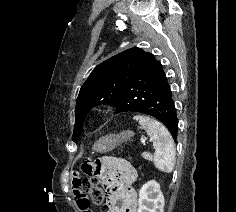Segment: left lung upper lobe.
<instances>
[{
	"label": "left lung upper lobe",
	"instance_id": "5c2ea615",
	"mask_svg": "<svg viewBox=\"0 0 236 212\" xmlns=\"http://www.w3.org/2000/svg\"><path fill=\"white\" fill-rule=\"evenodd\" d=\"M146 52L141 48L127 49L99 64L80 89L76 108L72 139L76 142L82 132L86 114L94 106L113 105L132 80Z\"/></svg>",
	"mask_w": 236,
	"mask_h": 212
}]
</instances>
